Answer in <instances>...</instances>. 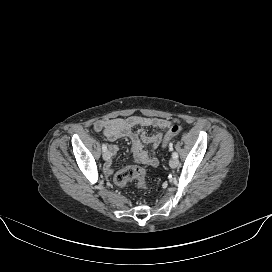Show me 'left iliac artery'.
I'll return each instance as SVG.
<instances>
[{"label": "left iliac artery", "instance_id": "left-iliac-artery-1", "mask_svg": "<svg viewBox=\"0 0 272 272\" xmlns=\"http://www.w3.org/2000/svg\"><path fill=\"white\" fill-rule=\"evenodd\" d=\"M172 157L177 159V158H178L177 152H173V153H172Z\"/></svg>", "mask_w": 272, "mask_h": 272}]
</instances>
